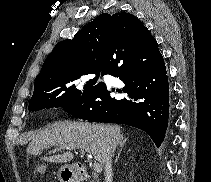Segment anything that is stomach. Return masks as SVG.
Instances as JSON below:
<instances>
[{"label":"stomach","instance_id":"stomach-1","mask_svg":"<svg viewBox=\"0 0 211 182\" xmlns=\"http://www.w3.org/2000/svg\"><path fill=\"white\" fill-rule=\"evenodd\" d=\"M60 182H77L78 174L71 165H64L58 173Z\"/></svg>","mask_w":211,"mask_h":182}]
</instances>
